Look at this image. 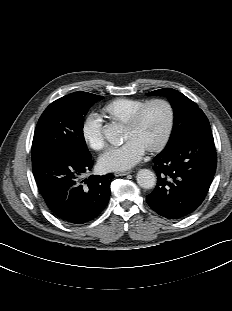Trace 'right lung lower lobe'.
<instances>
[{
    "mask_svg": "<svg viewBox=\"0 0 232 311\" xmlns=\"http://www.w3.org/2000/svg\"><path fill=\"white\" fill-rule=\"evenodd\" d=\"M33 174L44 201L60 219L73 224L93 220L104 210L110 198L112 174L80 175L93 166L92 159L49 152L32 158Z\"/></svg>",
    "mask_w": 232,
    "mask_h": 311,
    "instance_id": "98d812e1",
    "label": "right lung lower lobe"
}]
</instances>
